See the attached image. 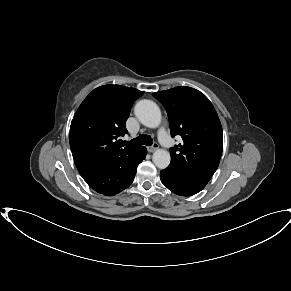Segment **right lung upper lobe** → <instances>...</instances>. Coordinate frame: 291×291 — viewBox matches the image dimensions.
<instances>
[{"instance_id":"cb5924a9","label":"right lung upper lobe","mask_w":291,"mask_h":291,"mask_svg":"<svg viewBox=\"0 0 291 291\" xmlns=\"http://www.w3.org/2000/svg\"><path fill=\"white\" fill-rule=\"evenodd\" d=\"M143 91L121 85L94 89L81 103L70 126L69 140L75 165L115 166L140 147H125L117 138L127 133L125 123L132 104Z\"/></svg>"}]
</instances>
